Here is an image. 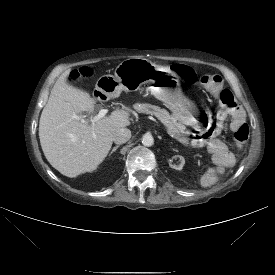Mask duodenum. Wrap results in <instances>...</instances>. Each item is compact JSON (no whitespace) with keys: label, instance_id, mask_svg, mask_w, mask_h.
<instances>
[{"label":"duodenum","instance_id":"obj_1","mask_svg":"<svg viewBox=\"0 0 275 275\" xmlns=\"http://www.w3.org/2000/svg\"><path fill=\"white\" fill-rule=\"evenodd\" d=\"M103 92L101 90H94L92 92V99L94 101H101L103 99Z\"/></svg>","mask_w":275,"mask_h":275}]
</instances>
